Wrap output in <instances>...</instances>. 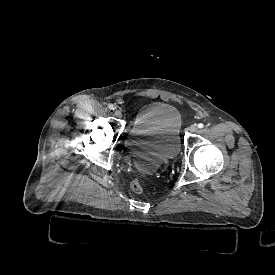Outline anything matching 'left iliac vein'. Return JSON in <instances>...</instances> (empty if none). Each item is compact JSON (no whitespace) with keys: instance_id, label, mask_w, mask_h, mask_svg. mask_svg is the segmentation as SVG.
<instances>
[{"instance_id":"left-iliac-vein-1","label":"left iliac vein","mask_w":275,"mask_h":275,"mask_svg":"<svg viewBox=\"0 0 275 275\" xmlns=\"http://www.w3.org/2000/svg\"><path fill=\"white\" fill-rule=\"evenodd\" d=\"M197 126L196 125H191L190 127H189V132H191V133H194V132H196L197 131Z\"/></svg>"}]
</instances>
